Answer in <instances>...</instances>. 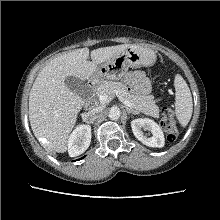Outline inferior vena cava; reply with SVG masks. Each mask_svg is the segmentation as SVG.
<instances>
[{
    "label": "inferior vena cava",
    "mask_w": 220,
    "mask_h": 220,
    "mask_svg": "<svg viewBox=\"0 0 220 220\" xmlns=\"http://www.w3.org/2000/svg\"><path fill=\"white\" fill-rule=\"evenodd\" d=\"M101 111H102V108H101V107L93 108L92 110H90L89 112H87V113H85V114L83 115V119H84V120H87L88 117L94 116L95 114H97V113H99V112H101Z\"/></svg>",
    "instance_id": "inferior-vena-cava-1"
}]
</instances>
